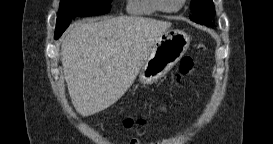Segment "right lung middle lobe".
<instances>
[{"label": "right lung middle lobe", "instance_id": "dd1d6c3e", "mask_svg": "<svg viewBox=\"0 0 273 144\" xmlns=\"http://www.w3.org/2000/svg\"><path fill=\"white\" fill-rule=\"evenodd\" d=\"M112 0H61L56 22L55 39L69 26L71 19L78 16H95L108 13Z\"/></svg>", "mask_w": 273, "mask_h": 144}]
</instances>
